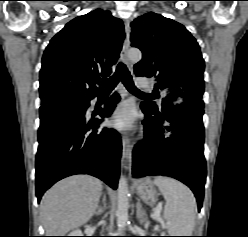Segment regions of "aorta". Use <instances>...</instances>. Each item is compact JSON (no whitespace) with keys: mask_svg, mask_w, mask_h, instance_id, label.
<instances>
[{"mask_svg":"<svg viewBox=\"0 0 248 237\" xmlns=\"http://www.w3.org/2000/svg\"><path fill=\"white\" fill-rule=\"evenodd\" d=\"M127 57L132 62H138L142 58V53L138 49H131L128 51ZM129 208V190L127 179L121 175L118 183V204H117V223L123 228L128 220Z\"/></svg>","mask_w":248,"mask_h":237,"instance_id":"aorta-1","label":"aorta"}]
</instances>
